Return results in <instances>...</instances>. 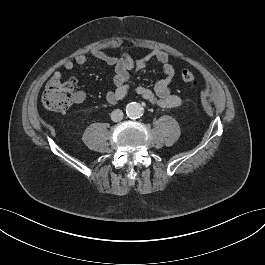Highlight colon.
Here are the masks:
<instances>
[{
  "label": "colon",
  "instance_id": "colon-1",
  "mask_svg": "<svg viewBox=\"0 0 265 265\" xmlns=\"http://www.w3.org/2000/svg\"><path fill=\"white\" fill-rule=\"evenodd\" d=\"M181 78L183 82L188 84L197 83L195 75L189 70L183 71ZM74 97L72 81L53 76L44 88L42 104L48 111L64 112L73 104Z\"/></svg>",
  "mask_w": 265,
  "mask_h": 265
}]
</instances>
